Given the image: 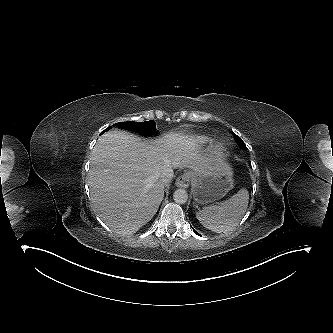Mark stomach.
<instances>
[{
    "label": "stomach",
    "instance_id": "obj_1",
    "mask_svg": "<svg viewBox=\"0 0 333 333\" xmlns=\"http://www.w3.org/2000/svg\"><path fill=\"white\" fill-rule=\"evenodd\" d=\"M233 187V172L216 165L203 173H192V193L196 203L208 204L223 198Z\"/></svg>",
    "mask_w": 333,
    "mask_h": 333
}]
</instances>
